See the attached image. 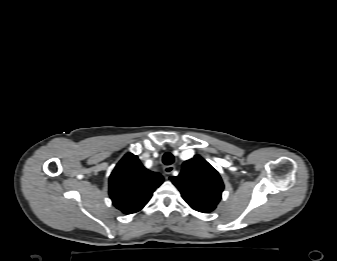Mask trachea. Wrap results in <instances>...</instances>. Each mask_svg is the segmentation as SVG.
<instances>
[{
  "mask_svg": "<svg viewBox=\"0 0 337 261\" xmlns=\"http://www.w3.org/2000/svg\"><path fill=\"white\" fill-rule=\"evenodd\" d=\"M162 161L165 165H171L174 162V156L170 152L163 155Z\"/></svg>",
  "mask_w": 337,
  "mask_h": 261,
  "instance_id": "1",
  "label": "trachea"
}]
</instances>
